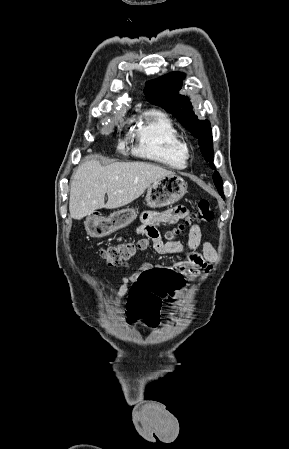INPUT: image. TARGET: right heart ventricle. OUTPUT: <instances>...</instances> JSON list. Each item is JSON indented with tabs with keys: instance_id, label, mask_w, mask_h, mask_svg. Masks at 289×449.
Instances as JSON below:
<instances>
[{
	"instance_id": "right-heart-ventricle-1",
	"label": "right heart ventricle",
	"mask_w": 289,
	"mask_h": 449,
	"mask_svg": "<svg viewBox=\"0 0 289 449\" xmlns=\"http://www.w3.org/2000/svg\"><path fill=\"white\" fill-rule=\"evenodd\" d=\"M135 152L176 169L187 165L188 148L171 119L159 110L145 112L134 132Z\"/></svg>"
}]
</instances>
